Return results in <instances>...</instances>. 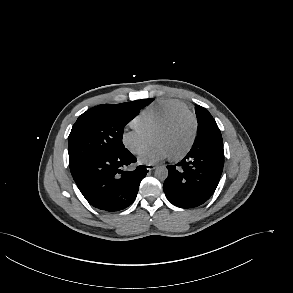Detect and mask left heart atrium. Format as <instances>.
<instances>
[{"label":"left heart atrium","instance_id":"left-heart-atrium-1","mask_svg":"<svg viewBox=\"0 0 293 293\" xmlns=\"http://www.w3.org/2000/svg\"><path fill=\"white\" fill-rule=\"evenodd\" d=\"M171 157L169 150L162 143H153L139 156L142 164H154Z\"/></svg>","mask_w":293,"mask_h":293}]
</instances>
